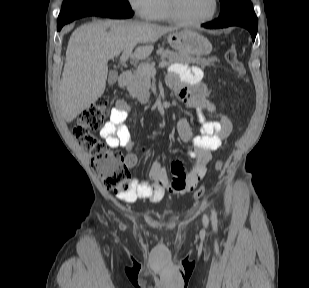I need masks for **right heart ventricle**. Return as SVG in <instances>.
Listing matches in <instances>:
<instances>
[{"instance_id":"1","label":"right heart ventricle","mask_w":309,"mask_h":288,"mask_svg":"<svg viewBox=\"0 0 309 288\" xmlns=\"http://www.w3.org/2000/svg\"><path fill=\"white\" fill-rule=\"evenodd\" d=\"M157 21H172L168 7H167V1L166 0H159L158 5L156 7V10L154 12L153 18Z\"/></svg>"}]
</instances>
